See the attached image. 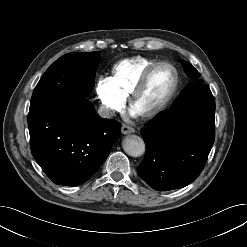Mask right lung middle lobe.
<instances>
[{
	"instance_id": "dd1d6c3e",
	"label": "right lung middle lobe",
	"mask_w": 247,
	"mask_h": 247,
	"mask_svg": "<svg viewBox=\"0 0 247 247\" xmlns=\"http://www.w3.org/2000/svg\"><path fill=\"white\" fill-rule=\"evenodd\" d=\"M99 61V51L75 52L60 57L36 85L30 108L55 98L69 102L86 99L93 89Z\"/></svg>"
}]
</instances>
